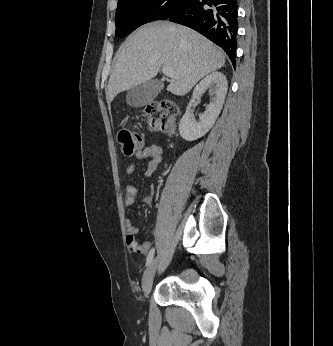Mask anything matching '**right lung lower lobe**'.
<instances>
[{
  "label": "right lung lower lobe",
  "instance_id": "98d812e1",
  "mask_svg": "<svg viewBox=\"0 0 333 346\" xmlns=\"http://www.w3.org/2000/svg\"><path fill=\"white\" fill-rule=\"evenodd\" d=\"M237 17V0H185L167 19L213 41L227 53L235 67Z\"/></svg>",
  "mask_w": 333,
  "mask_h": 346
}]
</instances>
